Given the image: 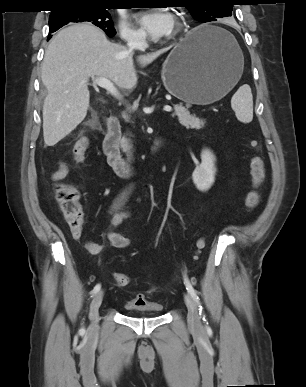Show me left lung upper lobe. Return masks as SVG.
Instances as JSON below:
<instances>
[{
	"label": "left lung upper lobe",
	"mask_w": 306,
	"mask_h": 387,
	"mask_svg": "<svg viewBox=\"0 0 306 387\" xmlns=\"http://www.w3.org/2000/svg\"><path fill=\"white\" fill-rule=\"evenodd\" d=\"M232 0H184L192 16L201 22L216 21L232 15Z\"/></svg>",
	"instance_id": "obj_1"
}]
</instances>
